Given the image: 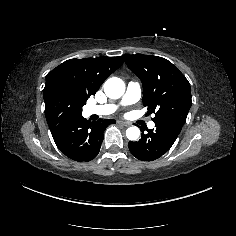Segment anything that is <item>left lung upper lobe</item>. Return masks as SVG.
<instances>
[{
	"label": "left lung upper lobe",
	"mask_w": 236,
	"mask_h": 236,
	"mask_svg": "<svg viewBox=\"0 0 236 236\" xmlns=\"http://www.w3.org/2000/svg\"><path fill=\"white\" fill-rule=\"evenodd\" d=\"M122 57L143 84V105L150 112L156 111L152 120L155 123L176 121L184 124L192 105L186 77L162 57L142 54Z\"/></svg>",
	"instance_id": "left-lung-upper-lobe-1"
}]
</instances>
